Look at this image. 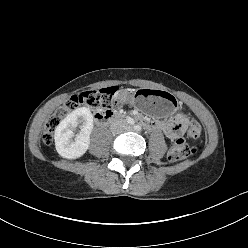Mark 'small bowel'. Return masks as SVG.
Masks as SVG:
<instances>
[{
    "label": "small bowel",
    "instance_id": "1",
    "mask_svg": "<svg viewBox=\"0 0 248 248\" xmlns=\"http://www.w3.org/2000/svg\"><path fill=\"white\" fill-rule=\"evenodd\" d=\"M188 122V117L180 112L169 122L146 120L144 124L149 129H161L167 137L174 139L180 137L184 133Z\"/></svg>",
    "mask_w": 248,
    "mask_h": 248
}]
</instances>
